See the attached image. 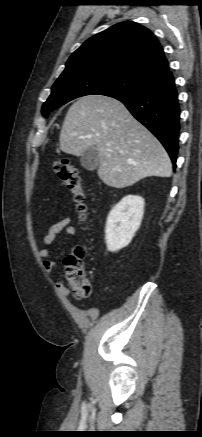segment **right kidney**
Masks as SVG:
<instances>
[{
	"mask_svg": "<svg viewBox=\"0 0 202 437\" xmlns=\"http://www.w3.org/2000/svg\"><path fill=\"white\" fill-rule=\"evenodd\" d=\"M144 215V199L127 195L110 211L105 228V240L110 252L126 247L139 229Z\"/></svg>",
	"mask_w": 202,
	"mask_h": 437,
	"instance_id": "1",
	"label": "right kidney"
}]
</instances>
